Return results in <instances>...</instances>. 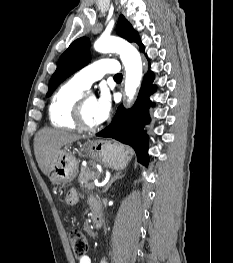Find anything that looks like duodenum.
Returning a JSON list of instances; mask_svg holds the SVG:
<instances>
[{"label": "duodenum", "instance_id": "obj_1", "mask_svg": "<svg viewBox=\"0 0 233 263\" xmlns=\"http://www.w3.org/2000/svg\"><path fill=\"white\" fill-rule=\"evenodd\" d=\"M91 209H92V219L94 226L96 228H100L102 225V214L99 208V205L97 202L91 204Z\"/></svg>", "mask_w": 233, "mask_h": 263}]
</instances>
